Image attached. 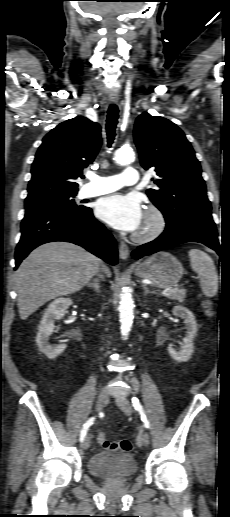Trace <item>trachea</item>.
<instances>
[{
  "label": "trachea",
  "instance_id": "trachea-1",
  "mask_svg": "<svg viewBox=\"0 0 230 517\" xmlns=\"http://www.w3.org/2000/svg\"><path fill=\"white\" fill-rule=\"evenodd\" d=\"M118 107L115 104H111L108 108L107 119H106V132L108 139V146L110 147L115 138V129L118 123Z\"/></svg>",
  "mask_w": 230,
  "mask_h": 517
}]
</instances>
